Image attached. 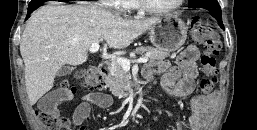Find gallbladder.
Returning a JSON list of instances; mask_svg holds the SVG:
<instances>
[{
    "label": "gallbladder",
    "mask_w": 257,
    "mask_h": 130,
    "mask_svg": "<svg viewBox=\"0 0 257 130\" xmlns=\"http://www.w3.org/2000/svg\"><path fill=\"white\" fill-rule=\"evenodd\" d=\"M73 71V68L69 67V66H62L58 72H57V76L62 77V76H67L70 75Z\"/></svg>",
    "instance_id": "bac80fb5"
}]
</instances>
